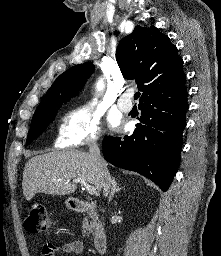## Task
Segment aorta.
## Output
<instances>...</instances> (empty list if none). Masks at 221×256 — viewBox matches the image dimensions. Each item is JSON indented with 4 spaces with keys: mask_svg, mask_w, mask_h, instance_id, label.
I'll return each instance as SVG.
<instances>
[{
    "mask_svg": "<svg viewBox=\"0 0 221 256\" xmlns=\"http://www.w3.org/2000/svg\"><path fill=\"white\" fill-rule=\"evenodd\" d=\"M104 88V82L103 80H99L97 83V89L102 90Z\"/></svg>",
    "mask_w": 221,
    "mask_h": 256,
    "instance_id": "obj_1",
    "label": "aorta"
}]
</instances>
